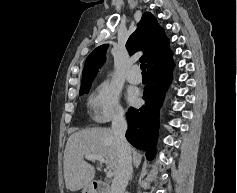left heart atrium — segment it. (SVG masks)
Listing matches in <instances>:
<instances>
[{"instance_id":"obj_1","label":"left heart atrium","mask_w":237,"mask_h":193,"mask_svg":"<svg viewBox=\"0 0 237 193\" xmlns=\"http://www.w3.org/2000/svg\"><path fill=\"white\" fill-rule=\"evenodd\" d=\"M130 100H131V102H135V101H136V96H134V95L131 96V97H130Z\"/></svg>"}]
</instances>
